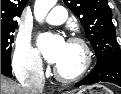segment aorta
<instances>
[{
	"instance_id": "762f6f07",
	"label": "aorta",
	"mask_w": 121,
	"mask_h": 94,
	"mask_svg": "<svg viewBox=\"0 0 121 94\" xmlns=\"http://www.w3.org/2000/svg\"><path fill=\"white\" fill-rule=\"evenodd\" d=\"M57 0H36L34 5V16L36 20L42 21Z\"/></svg>"
}]
</instances>
